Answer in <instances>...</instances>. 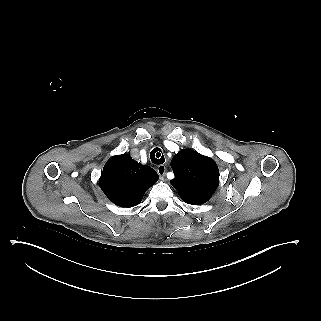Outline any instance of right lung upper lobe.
Listing matches in <instances>:
<instances>
[{
    "label": "right lung upper lobe",
    "instance_id": "obj_1",
    "mask_svg": "<svg viewBox=\"0 0 321 321\" xmlns=\"http://www.w3.org/2000/svg\"><path fill=\"white\" fill-rule=\"evenodd\" d=\"M157 180L158 174L151 167L137 163L128 154H122L107 161L99 184L114 204L133 207L141 202L146 190Z\"/></svg>",
    "mask_w": 321,
    "mask_h": 321
}]
</instances>
